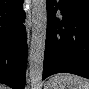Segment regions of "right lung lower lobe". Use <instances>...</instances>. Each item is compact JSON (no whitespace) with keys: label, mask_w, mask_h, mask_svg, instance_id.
Here are the masks:
<instances>
[{"label":"right lung lower lobe","mask_w":89,"mask_h":89,"mask_svg":"<svg viewBox=\"0 0 89 89\" xmlns=\"http://www.w3.org/2000/svg\"><path fill=\"white\" fill-rule=\"evenodd\" d=\"M23 0H0V83L13 89L25 86L27 66Z\"/></svg>","instance_id":"right-lung-lower-lobe-1"}]
</instances>
